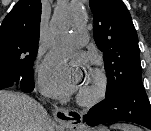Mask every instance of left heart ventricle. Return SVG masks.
Masks as SVG:
<instances>
[{"label":"left heart ventricle","instance_id":"obj_1","mask_svg":"<svg viewBox=\"0 0 151 131\" xmlns=\"http://www.w3.org/2000/svg\"><path fill=\"white\" fill-rule=\"evenodd\" d=\"M93 87V80L91 79V77L89 76L84 84L82 85L81 89H80V93L81 92H88L89 90H91V88Z\"/></svg>","mask_w":151,"mask_h":131}]
</instances>
